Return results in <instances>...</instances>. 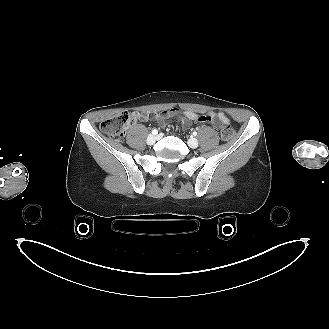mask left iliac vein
<instances>
[{
  "label": "left iliac vein",
  "mask_w": 329,
  "mask_h": 329,
  "mask_svg": "<svg viewBox=\"0 0 329 329\" xmlns=\"http://www.w3.org/2000/svg\"><path fill=\"white\" fill-rule=\"evenodd\" d=\"M187 143H188L189 147H191L193 149L198 147V140L196 138H190Z\"/></svg>",
  "instance_id": "left-iliac-vein-1"
}]
</instances>
